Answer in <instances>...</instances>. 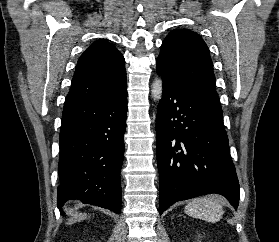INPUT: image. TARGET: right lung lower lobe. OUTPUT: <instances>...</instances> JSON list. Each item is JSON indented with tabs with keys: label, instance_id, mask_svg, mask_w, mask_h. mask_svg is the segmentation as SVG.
Instances as JSON below:
<instances>
[{
	"label": "right lung lower lobe",
	"instance_id": "right-lung-lower-lobe-1",
	"mask_svg": "<svg viewBox=\"0 0 279 242\" xmlns=\"http://www.w3.org/2000/svg\"><path fill=\"white\" fill-rule=\"evenodd\" d=\"M126 113V87L109 97L64 106L58 208L77 199L120 213Z\"/></svg>",
	"mask_w": 279,
	"mask_h": 242
}]
</instances>
